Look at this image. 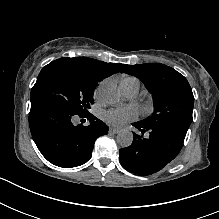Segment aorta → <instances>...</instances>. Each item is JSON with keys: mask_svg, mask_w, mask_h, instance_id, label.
I'll list each match as a JSON object with an SVG mask.
<instances>
[{"mask_svg": "<svg viewBox=\"0 0 219 219\" xmlns=\"http://www.w3.org/2000/svg\"><path fill=\"white\" fill-rule=\"evenodd\" d=\"M103 99L110 105H116L121 101V95L117 90L116 85L112 83L105 84L102 88ZM117 143L122 147H129L133 141V134L128 130L118 133Z\"/></svg>", "mask_w": 219, "mask_h": 219, "instance_id": "1", "label": "aorta"}]
</instances>
